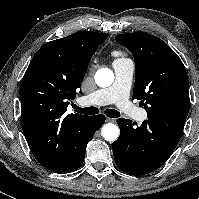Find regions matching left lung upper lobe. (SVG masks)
Returning a JSON list of instances; mask_svg holds the SVG:
<instances>
[{
  "mask_svg": "<svg viewBox=\"0 0 199 199\" xmlns=\"http://www.w3.org/2000/svg\"><path fill=\"white\" fill-rule=\"evenodd\" d=\"M115 39L134 56L136 80L132 98L140 100L148 118L183 130L190 99L181 59L160 38L150 34H119Z\"/></svg>",
  "mask_w": 199,
  "mask_h": 199,
  "instance_id": "left-lung-upper-lobe-1",
  "label": "left lung upper lobe"
}]
</instances>
